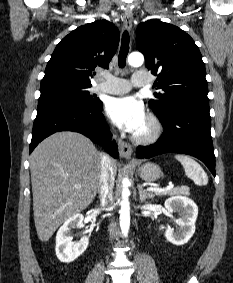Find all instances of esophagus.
Instances as JSON below:
<instances>
[{"instance_id": "1", "label": "esophagus", "mask_w": 233, "mask_h": 283, "mask_svg": "<svg viewBox=\"0 0 233 283\" xmlns=\"http://www.w3.org/2000/svg\"><path fill=\"white\" fill-rule=\"evenodd\" d=\"M132 21H133V13L130 9H126L123 16V23L128 31H130L132 28ZM118 145H119L120 156L127 160H131L132 159L131 145H129L127 142H124L121 139H119Z\"/></svg>"}]
</instances>
